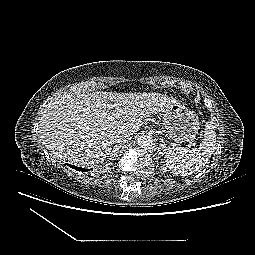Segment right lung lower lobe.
I'll use <instances>...</instances> for the list:
<instances>
[{
	"instance_id": "98d812e1",
	"label": "right lung lower lobe",
	"mask_w": 255,
	"mask_h": 255,
	"mask_svg": "<svg viewBox=\"0 0 255 255\" xmlns=\"http://www.w3.org/2000/svg\"><path fill=\"white\" fill-rule=\"evenodd\" d=\"M68 166L71 167L72 169L79 170V171H88L89 170V169H84V168L77 167V166L70 165V164H68Z\"/></svg>"
}]
</instances>
